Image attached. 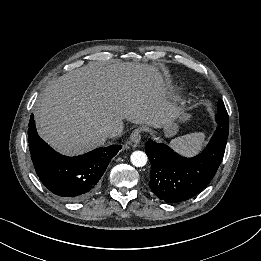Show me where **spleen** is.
<instances>
[{
  "instance_id": "1",
  "label": "spleen",
  "mask_w": 261,
  "mask_h": 261,
  "mask_svg": "<svg viewBox=\"0 0 261 261\" xmlns=\"http://www.w3.org/2000/svg\"><path fill=\"white\" fill-rule=\"evenodd\" d=\"M205 133L195 132L171 140V146L186 155L195 154L204 144Z\"/></svg>"
}]
</instances>
